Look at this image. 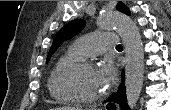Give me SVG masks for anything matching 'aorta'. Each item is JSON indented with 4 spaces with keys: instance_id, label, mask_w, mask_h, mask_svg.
Listing matches in <instances>:
<instances>
[{
    "instance_id": "aorta-1",
    "label": "aorta",
    "mask_w": 171,
    "mask_h": 110,
    "mask_svg": "<svg viewBox=\"0 0 171 110\" xmlns=\"http://www.w3.org/2000/svg\"><path fill=\"white\" fill-rule=\"evenodd\" d=\"M101 29H115L121 36L126 54L125 88L130 109L139 100L144 78V50L139 29L133 20L118 12L102 15L98 20Z\"/></svg>"
}]
</instances>
